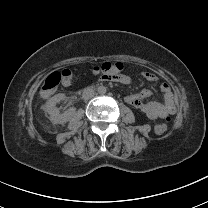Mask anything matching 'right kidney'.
<instances>
[{"mask_svg":"<svg viewBox=\"0 0 208 208\" xmlns=\"http://www.w3.org/2000/svg\"><path fill=\"white\" fill-rule=\"evenodd\" d=\"M65 94L59 93L51 97L45 104L44 109L49 114V119L53 124H62L69 120L68 113L60 114L59 109L56 107V103L64 100Z\"/></svg>","mask_w":208,"mask_h":208,"instance_id":"right-kidney-1","label":"right kidney"}]
</instances>
